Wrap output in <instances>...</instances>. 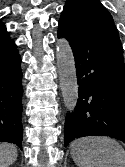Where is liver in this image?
<instances>
[{"instance_id": "6515ba94", "label": "liver", "mask_w": 125, "mask_h": 167, "mask_svg": "<svg viewBox=\"0 0 125 167\" xmlns=\"http://www.w3.org/2000/svg\"><path fill=\"white\" fill-rule=\"evenodd\" d=\"M17 149L13 144L0 143V167H8L17 159Z\"/></svg>"}]
</instances>
